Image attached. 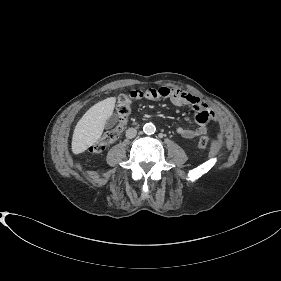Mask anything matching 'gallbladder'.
Segmentation results:
<instances>
[{
    "label": "gallbladder",
    "instance_id": "gallbladder-1",
    "mask_svg": "<svg viewBox=\"0 0 281 281\" xmlns=\"http://www.w3.org/2000/svg\"><path fill=\"white\" fill-rule=\"evenodd\" d=\"M117 123V117L115 115H112L109 117L105 123L106 128H112Z\"/></svg>",
    "mask_w": 281,
    "mask_h": 281
}]
</instances>
